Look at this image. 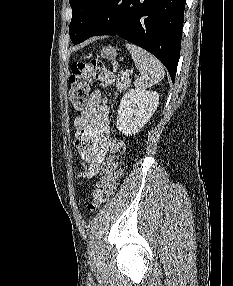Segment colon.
<instances>
[{
    "mask_svg": "<svg viewBox=\"0 0 233 286\" xmlns=\"http://www.w3.org/2000/svg\"><path fill=\"white\" fill-rule=\"evenodd\" d=\"M93 80L109 89L114 82L113 74L99 60L90 62H74L69 77V99L74 109L82 110L88 103L89 89ZM109 156L101 167V176L92 192L87 210L93 212L106 203L118 186L121 175V160L124 150L123 143L113 137L107 144Z\"/></svg>",
    "mask_w": 233,
    "mask_h": 286,
    "instance_id": "5ec220e1",
    "label": "colon"
}]
</instances>
